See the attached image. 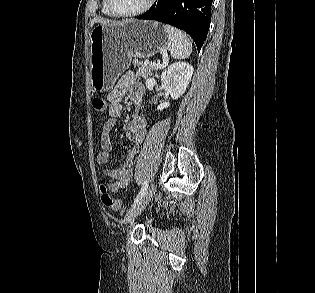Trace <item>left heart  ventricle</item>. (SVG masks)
<instances>
[{
    "mask_svg": "<svg viewBox=\"0 0 315 293\" xmlns=\"http://www.w3.org/2000/svg\"><path fill=\"white\" fill-rule=\"evenodd\" d=\"M146 2L147 0H113L115 9L123 13L136 11L143 7Z\"/></svg>",
    "mask_w": 315,
    "mask_h": 293,
    "instance_id": "b2bd125f",
    "label": "left heart ventricle"
}]
</instances>
